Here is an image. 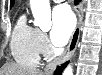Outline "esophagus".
I'll list each match as a JSON object with an SVG mask.
<instances>
[{
	"instance_id": "34e87169",
	"label": "esophagus",
	"mask_w": 102,
	"mask_h": 75,
	"mask_svg": "<svg viewBox=\"0 0 102 75\" xmlns=\"http://www.w3.org/2000/svg\"><path fill=\"white\" fill-rule=\"evenodd\" d=\"M74 10L77 14V26L75 30L73 31V34L70 38L69 44L65 50V52L58 58H56L52 63L48 64L45 68V71L48 73H52L57 65H60L64 63L66 60H68L76 50L78 40L80 37V31L82 27V20H83V2H80L79 4H76L74 6Z\"/></svg>"
}]
</instances>
